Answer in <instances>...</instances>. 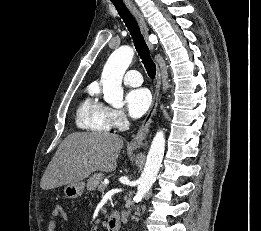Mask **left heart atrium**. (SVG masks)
Wrapping results in <instances>:
<instances>
[{"label":"left heart atrium","instance_id":"1","mask_svg":"<svg viewBox=\"0 0 261 231\" xmlns=\"http://www.w3.org/2000/svg\"><path fill=\"white\" fill-rule=\"evenodd\" d=\"M125 103L130 115L138 118L150 108L152 97L146 88H136L126 94Z\"/></svg>","mask_w":261,"mask_h":231}]
</instances>
